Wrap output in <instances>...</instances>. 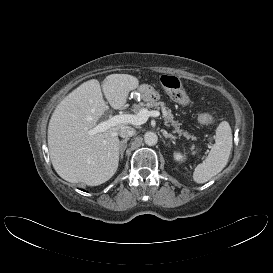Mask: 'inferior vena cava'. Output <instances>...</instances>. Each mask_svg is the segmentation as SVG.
<instances>
[{
    "instance_id": "1",
    "label": "inferior vena cava",
    "mask_w": 273,
    "mask_h": 273,
    "mask_svg": "<svg viewBox=\"0 0 273 273\" xmlns=\"http://www.w3.org/2000/svg\"><path fill=\"white\" fill-rule=\"evenodd\" d=\"M135 133H136V130L130 126H123L118 131V134L125 139L132 137Z\"/></svg>"
}]
</instances>
